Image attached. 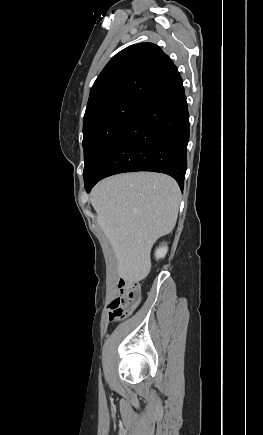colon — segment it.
<instances>
[{"label":"colon","mask_w":263,"mask_h":435,"mask_svg":"<svg viewBox=\"0 0 263 435\" xmlns=\"http://www.w3.org/2000/svg\"><path fill=\"white\" fill-rule=\"evenodd\" d=\"M118 289V295L110 304L111 320L127 316L140 301V285L137 281L121 280Z\"/></svg>","instance_id":"1"}]
</instances>
